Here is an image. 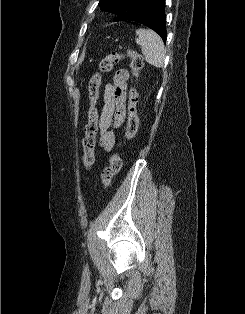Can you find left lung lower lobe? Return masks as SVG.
<instances>
[{"label": "left lung lower lobe", "mask_w": 245, "mask_h": 314, "mask_svg": "<svg viewBox=\"0 0 245 314\" xmlns=\"http://www.w3.org/2000/svg\"><path fill=\"white\" fill-rule=\"evenodd\" d=\"M165 0H145L139 11L129 20L141 23L155 32L166 41Z\"/></svg>", "instance_id": "1"}]
</instances>
